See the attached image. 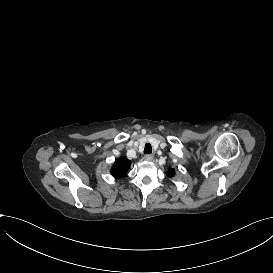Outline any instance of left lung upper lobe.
<instances>
[{
    "label": "left lung upper lobe",
    "instance_id": "left-lung-upper-lobe-1",
    "mask_svg": "<svg viewBox=\"0 0 273 273\" xmlns=\"http://www.w3.org/2000/svg\"><path fill=\"white\" fill-rule=\"evenodd\" d=\"M172 174H173V170H172V169H169V170H168V176H172Z\"/></svg>",
    "mask_w": 273,
    "mask_h": 273
}]
</instances>
